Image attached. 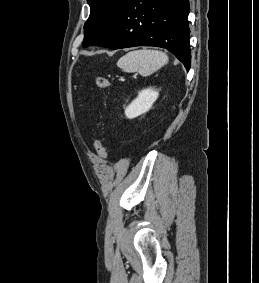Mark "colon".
I'll return each mask as SVG.
<instances>
[{
  "instance_id": "colon-1",
  "label": "colon",
  "mask_w": 259,
  "mask_h": 283,
  "mask_svg": "<svg viewBox=\"0 0 259 283\" xmlns=\"http://www.w3.org/2000/svg\"><path fill=\"white\" fill-rule=\"evenodd\" d=\"M94 83L100 89H107L110 86V81L100 75L94 76ZM96 151L101 158L106 159L108 156V148L104 144L102 139L97 140L96 142Z\"/></svg>"
}]
</instances>
